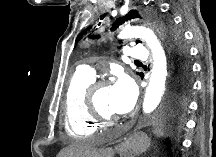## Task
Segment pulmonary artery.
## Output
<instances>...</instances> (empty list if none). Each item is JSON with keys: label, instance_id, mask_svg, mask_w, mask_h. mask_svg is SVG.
Masks as SVG:
<instances>
[{"label": "pulmonary artery", "instance_id": "obj_1", "mask_svg": "<svg viewBox=\"0 0 216 157\" xmlns=\"http://www.w3.org/2000/svg\"><path fill=\"white\" fill-rule=\"evenodd\" d=\"M131 59L145 61L148 59V51L145 47L140 45H135L130 48L127 54ZM78 73L94 79L95 70L91 65L85 64L78 68Z\"/></svg>", "mask_w": 216, "mask_h": 157}]
</instances>
